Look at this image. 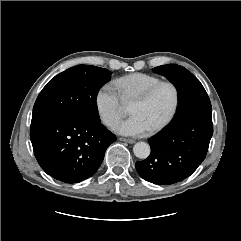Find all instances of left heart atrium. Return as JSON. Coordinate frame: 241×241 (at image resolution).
Segmentation results:
<instances>
[{
	"label": "left heart atrium",
	"mask_w": 241,
	"mask_h": 241,
	"mask_svg": "<svg viewBox=\"0 0 241 241\" xmlns=\"http://www.w3.org/2000/svg\"><path fill=\"white\" fill-rule=\"evenodd\" d=\"M114 130L122 135L139 136L145 134L150 129L139 115L133 114L117 123Z\"/></svg>",
	"instance_id": "1"
}]
</instances>
